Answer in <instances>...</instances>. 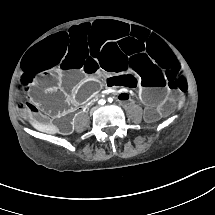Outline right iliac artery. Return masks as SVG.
Here are the masks:
<instances>
[{
    "label": "right iliac artery",
    "mask_w": 215,
    "mask_h": 215,
    "mask_svg": "<svg viewBox=\"0 0 215 215\" xmlns=\"http://www.w3.org/2000/svg\"><path fill=\"white\" fill-rule=\"evenodd\" d=\"M105 103H106V101L103 100V99H101V100L98 102L99 105H104Z\"/></svg>",
    "instance_id": "obj_1"
}]
</instances>
